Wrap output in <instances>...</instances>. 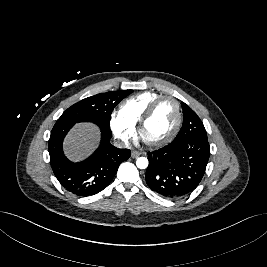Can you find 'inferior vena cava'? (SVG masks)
<instances>
[{"instance_id": "inferior-vena-cava-1", "label": "inferior vena cava", "mask_w": 267, "mask_h": 267, "mask_svg": "<svg viewBox=\"0 0 267 267\" xmlns=\"http://www.w3.org/2000/svg\"><path fill=\"white\" fill-rule=\"evenodd\" d=\"M114 146L117 148H128L129 143L128 141H125V140H116L114 141Z\"/></svg>"}]
</instances>
